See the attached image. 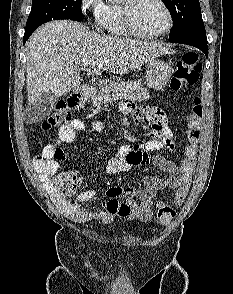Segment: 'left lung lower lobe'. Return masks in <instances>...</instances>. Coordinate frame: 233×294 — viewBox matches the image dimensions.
<instances>
[{"label": "left lung lower lobe", "mask_w": 233, "mask_h": 294, "mask_svg": "<svg viewBox=\"0 0 233 294\" xmlns=\"http://www.w3.org/2000/svg\"><path fill=\"white\" fill-rule=\"evenodd\" d=\"M175 43H182V44L194 46L200 49L201 51H203L206 57L208 56V43L206 38H187V39L177 40Z\"/></svg>", "instance_id": "1"}]
</instances>
